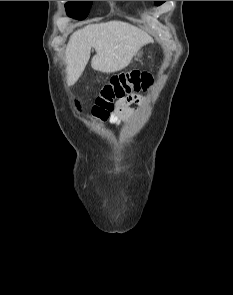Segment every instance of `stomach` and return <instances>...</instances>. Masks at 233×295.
<instances>
[{
    "mask_svg": "<svg viewBox=\"0 0 233 295\" xmlns=\"http://www.w3.org/2000/svg\"><path fill=\"white\" fill-rule=\"evenodd\" d=\"M143 55H144V52H143V50H141V49H139L136 53H135V60H140L142 57H143Z\"/></svg>",
    "mask_w": 233,
    "mask_h": 295,
    "instance_id": "1",
    "label": "stomach"
}]
</instances>
